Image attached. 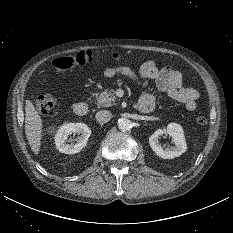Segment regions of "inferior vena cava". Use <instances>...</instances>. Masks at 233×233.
Masks as SVG:
<instances>
[{
	"label": "inferior vena cava",
	"instance_id": "602c4592",
	"mask_svg": "<svg viewBox=\"0 0 233 233\" xmlns=\"http://www.w3.org/2000/svg\"><path fill=\"white\" fill-rule=\"evenodd\" d=\"M95 117H96L97 121H99L101 123H106V122L110 121V119L112 118V113L108 110H101V111L96 113Z\"/></svg>",
	"mask_w": 233,
	"mask_h": 233
}]
</instances>
